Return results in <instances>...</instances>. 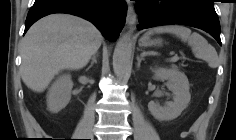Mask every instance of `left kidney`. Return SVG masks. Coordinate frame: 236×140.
<instances>
[{
  "label": "left kidney",
  "instance_id": "1",
  "mask_svg": "<svg viewBox=\"0 0 236 140\" xmlns=\"http://www.w3.org/2000/svg\"><path fill=\"white\" fill-rule=\"evenodd\" d=\"M154 74L156 79L167 80V87L173 92L174 99L173 102H168L165 106L150 101L148 109L158 120L175 119L190 102L189 81L184 73L173 69L157 68L154 70Z\"/></svg>",
  "mask_w": 236,
  "mask_h": 140
}]
</instances>
